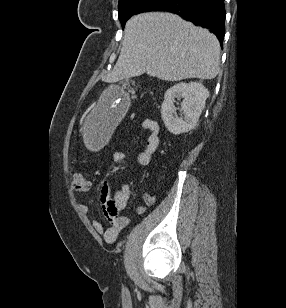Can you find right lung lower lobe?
Listing matches in <instances>:
<instances>
[{"label":"right lung lower lobe","mask_w":286,"mask_h":308,"mask_svg":"<svg viewBox=\"0 0 286 308\" xmlns=\"http://www.w3.org/2000/svg\"><path fill=\"white\" fill-rule=\"evenodd\" d=\"M153 11H167L211 30L223 43L225 35L224 0H168Z\"/></svg>","instance_id":"98d812e1"}]
</instances>
